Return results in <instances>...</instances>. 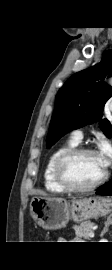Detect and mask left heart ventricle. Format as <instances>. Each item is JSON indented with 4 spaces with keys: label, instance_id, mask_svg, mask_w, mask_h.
<instances>
[{
    "label": "left heart ventricle",
    "instance_id": "obj_1",
    "mask_svg": "<svg viewBox=\"0 0 112 270\" xmlns=\"http://www.w3.org/2000/svg\"><path fill=\"white\" fill-rule=\"evenodd\" d=\"M105 169L97 153L84 154L71 160L67 165V174L76 185H90L97 181Z\"/></svg>",
    "mask_w": 112,
    "mask_h": 270
}]
</instances>
